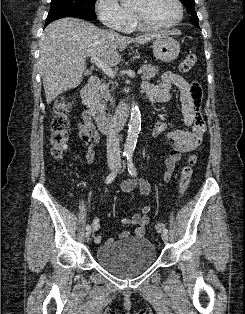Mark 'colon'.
Returning a JSON list of instances; mask_svg holds the SVG:
<instances>
[{
    "instance_id": "1",
    "label": "colon",
    "mask_w": 245,
    "mask_h": 314,
    "mask_svg": "<svg viewBox=\"0 0 245 314\" xmlns=\"http://www.w3.org/2000/svg\"><path fill=\"white\" fill-rule=\"evenodd\" d=\"M197 62V57L195 54H188L180 63L179 70L183 73L191 71L193 66ZM71 108L70 101L64 97L60 96L56 99L54 105V114L51 120V155L53 158L60 160L62 159L68 151V113ZM197 156L195 154L191 155L188 159L187 164L183 167L181 171V177L179 182V194L183 196L186 192L190 179L193 175V167L196 164ZM164 223H157L154 229L157 233H161L165 228Z\"/></svg>"
}]
</instances>
